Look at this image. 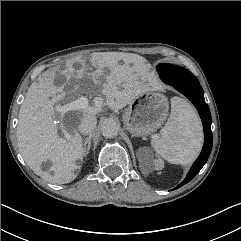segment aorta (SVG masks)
Returning a JSON list of instances; mask_svg holds the SVG:
<instances>
[{"mask_svg": "<svg viewBox=\"0 0 241 241\" xmlns=\"http://www.w3.org/2000/svg\"><path fill=\"white\" fill-rule=\"evenodd\" d=\"M119 124L113 119H106L101 124V133L106 138H113L118 134Z\"/></svg>", "mask_w": 241, "mask_h": 241, "instance_id": "obj_1", "label": "aorta"}]
</instances>
